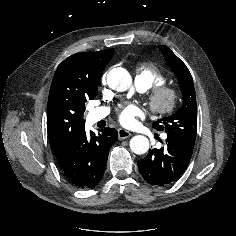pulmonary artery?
Wrapping results in <instances>:
<instances>
[{
    "mask_svg": "<svg viewBox=\"0 0 236 236\" xmlns=\"http://www.w3.org/2000/svg\"><path fill=\"white\" fill-rule=\"evenodd\" d=\"M141 91H145L144 88L139 87ZM109 114V109L102 107V108H97L91 112V117L94 121H99L103 118H105ZM166 137V136H164Z\"/></svg>",
    "mask_w": 236,
    "mask_h": 236,
    "instance_id": "e3ab8cb5",
    "label": "pulmonary artery"
}]
</instances>
